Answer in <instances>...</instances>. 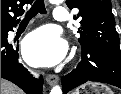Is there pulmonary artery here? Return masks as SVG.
<instances>
[{"instance_id": "e3ab8cb5", "label": "pulmonary artery", "mask_w": 121, "mask_h": 94, "mask_svg": "<svg viewBox=\"0 0 121 94\" xmlns=\"http://www.w3.org/2000/svg\"><path fill=\"white\" fill-rule=\"evenodd\" d=\"M53 17L56 21L65 22L68 20V11L64 7L57 6L55 8Z\"/></svg>"}]
</instances>
